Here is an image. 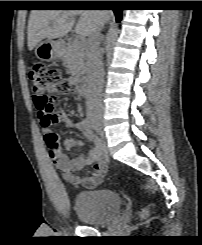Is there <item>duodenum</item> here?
Returning a JSON list of instances; mask_svg holds the SVG:
<instances>
[{
	"label": "duodenum",
	"mask_w": 202,
	"mask_h": 245,
	"mask_svg": "<svg viewBox=\"0 0 202 245\" xmlns=\"http://www.w3.org/2000/svg\"><path fill=\"white\" fill-rule=\"evenodd\" d=\"M75 87L78 92V94L81 97H87L89 95V89H88V81L86 78H79L75 82Z\"/></svg>",
	"instance_id": "obj_1"
}]
</instances>
